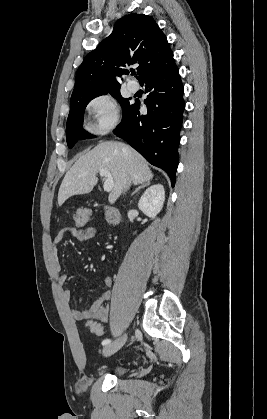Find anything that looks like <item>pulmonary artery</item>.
<instances>
[{
	"label": "pulmonary artery",
	"instance_id": "1",
	"mask_svg": "<svg viewBox=\"0 0 267 419\" xmlns=\"http://www.w3.org/2000/svg\"><path fill=\"white\" fill-rule=\"evenodd\" d=\"M127 88H128V90H129L130 92L135 93V92H137V91H138V89H139V85H138V83H137V82H135V81H129V82L127 83Z\"/></svg>",
	"mask_w": 267,
	"mask_h": 419
}]
</instances>
